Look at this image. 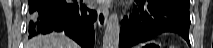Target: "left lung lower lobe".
I'll list each match as a JSON object with an SVG mask.
<instances>
[{
    "label": "left lung lower lobe",
    "mask_w": 213,
    "mask_h": 48,
    "mask_svg": "<svg viewBox=\"0 0 213 48\" xmlns=\"http://www.w3.org/2000/svg\"><path fill=\"white\" fill-rule=\"evenodd\" d=\"M134 12L121 23L119 48L148 41L163 32L179 33L190 45L189 5L178 0H135Z\"/></svg>",
    "instance_id": "obj_1"
}]
</instances>
